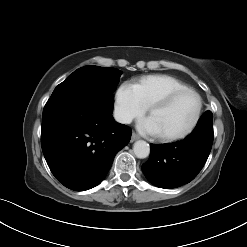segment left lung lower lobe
<instances>
[{
	"mask_svg": "<svg viewBox=\"0 0 247 247\" xmlns=\"http://www.w3.org/2000/svg\"><path fill=\"white\" fill-rule=\"evenodd\" d=\"M212 112L206 111L184 140L150 145L149 160L142 165L147 179L161 188H176L192 181L203 168L213 143Z\"/></svg>",
	"mask_w": 247,
	"mask_h": 247,
	"instance_id": "obj_1",
	"label": "left lung lower lobe"
}]
</instances>
